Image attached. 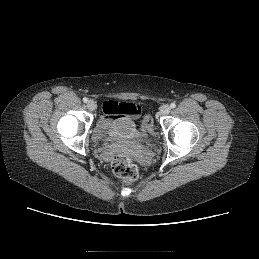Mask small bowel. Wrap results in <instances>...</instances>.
Wrapping results in <instances>:
<instances>
[{"label": "small bowel", "instance_id": "obj_1", "mask_svg": "<svg viewBox=\"0 0 259 259\" xmlns=\"http://www.w3.org/2000/svg\"><path fill=\"white\" fill-rule=\"evenodd\" d=\"M124 105H129L132 109L128 113L124 109ZM102 128L112 126L117 120H129L130 117L137 118L141 113L138 105L131 103H119L117 101H105L103 104Z\"/></svg>", "mask_w": 259, "mask_h": 259}]
</instances>
